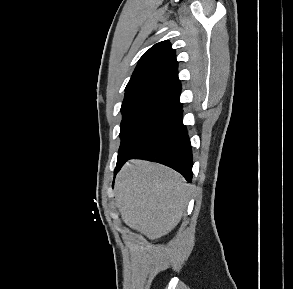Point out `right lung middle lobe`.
<instances>
[{
	"mask_svg": "<svg viewBox=\"0 0 293 289\" xmlns=\"http://www.w3.org/2000/svg\"><path fill=\"white\" fill-rule=\"evenodd\" d=\"M177 109L176 105L157 99L123 101L119 152L127 149L156 123Z\"/></svg>",
	"mask_w": 293,
	"mask_h": 289,
	"instance_id": "right-lung-middle-lobe-1",
	"label": "right lung middle lobe"
}]
</instances>
